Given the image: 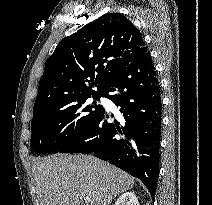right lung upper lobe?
I'll return each mask as SVG.
<instances>
[{"instance_id":"obj_1","label":"right lung upper lobe","mask_w":212,"mask_h":205,"mask_svg":"<svg viewBox=\"0 0 212 205\" xmlns=\"http://www.w3.org/2000/svg\"><path fill=\"white\" fill-rule=\"evenodd\" d=\"M140 31L107 13L60 41L47 59L33 112L103 93L126 66L147 52Z\"/></svg>"}]
</instances>
